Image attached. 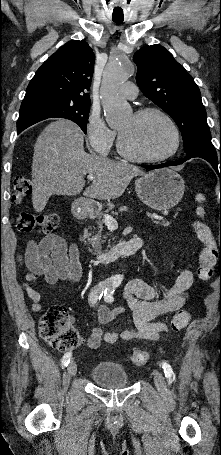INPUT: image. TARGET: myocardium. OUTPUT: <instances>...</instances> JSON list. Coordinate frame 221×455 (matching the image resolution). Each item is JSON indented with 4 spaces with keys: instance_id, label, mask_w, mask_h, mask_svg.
I'll list each match as a JSON object with an SVG mask.
<instances>
[{
    "instance_id": "obj_1",
    "label": "myocardium",
    "mask_w": 221,
    "mask_h": 455,
    "mask_svg": "<svg viewBox=\"0 0 221 455\" xmlns=\"http://www.w3.org/2000/svg\"><path fill=\"white\" fill-rule=\"evenodd\" d=\"M149 115H157L161 117L169 126L171 129L172 135H173V145L170 151L163 155H158V156H141L134 154L130 151H128L124 145L123 137L121 133L118 131V140H117V149L119 154L131 161L135 162H140V163H157V162H162L165 161L171 157H173L179 150L180 147V133L178 130L177 125L173 121V119L163 110L154 108V107H147L140 109L134 113V116L137 118H143Z\"/></svg>"
}]
</instances>
